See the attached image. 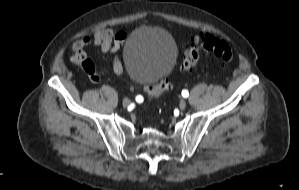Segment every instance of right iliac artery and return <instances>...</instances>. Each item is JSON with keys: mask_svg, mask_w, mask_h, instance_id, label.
<instances>
[{"mask_svg": "<svg viewBox=\"0 0 299 190\" xmlns=\"http://www.w3.org/2000/svg\"><path fill=\"white\" fill-rule=\"evenodd\" d=\"M141 100H143V97H142V96H137V97H136V101H141Z\"/></svg>", "mask_w": 299, "mask_h": 190, "instance_id": "right-iliac-artery-1", "label": "right iliac artery"}]
</instances>
